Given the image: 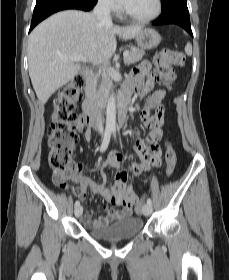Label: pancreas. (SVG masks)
Returning <instances> with one entry per match:
<instances>
[{"label": "pancreas", "instance_id": "obj_1", "mask_svg": "<svg viewBox=\"0 0 229 280\" xmlns=\"http://www.w3.org/2000/svg\"><path fill=\"white\" fill-rule=\"evenodd\" d=\"M144 54L145 51L143 49L132 47L125 62L128 65L136 63L142 59ZM112 86V80L108 76L104 75L102 76L100 83H98L97 79L93 81V83L87 89V94L89 97L96 99L99 102H104L107 99Z\"/></svg>", "mask_w": 229, "mask_h": 280}]
</instances>
